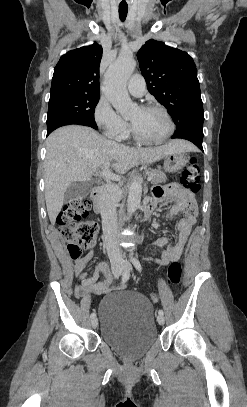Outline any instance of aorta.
I'll return each mask as SVG.
<instances>
[{
  "label": "aorta",
  "mask_w": 247,
  "mask_h": 407,
  "mask_svg": "<svg viewBox=\"0 0 247 407\" xmlns=\"http://www.w3.org/2000/svg\"><path fill=\"white\" fill-rule=\"evenodd\" d=\"M136 67L132 56H120L106 71L102 91L121 115L130 113L135 104L131 101L126 84ZM142 196V181L135 177L130 184L127 198V209L134 213L140 205Z\"/></svg>",
  "instance_id": "obj_1"
}]
</instances>
